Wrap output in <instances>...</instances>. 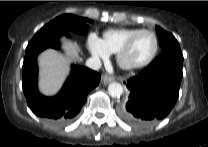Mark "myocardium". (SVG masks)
<instances>
[{
    "mask_svg": "<svg viewBox=\"0 0 208 147\" xmlns=\"http://www.w3.org/2000/svg\"><path fill=\"white\" fill-rule=\"evenodd\" d=\"M144 33H149L154 37L155 40V48L153 50V53L151 54V56L145 60L144 62L141 63H129L126 61L125 57L127 55V53L129 52L130 48L132 47L133 43L135 42V40L142 34ZM159 51V40L158 37L156 35V33L152 30H148V29H141L140 31L136 32L135 34H133L124 44L123 46L119 49V51L116 53V59H117V63L118 65L124 69V70H137V69H141L144 68L146 66H148L149 64H151L153 62V60L156 58L157 54Z\"/></svg>",
    "mask_w": 208,
    "mask_h": 147,
    "instance_id": "f54148a6",
    "label": "myocardium"
}]
</instances>
